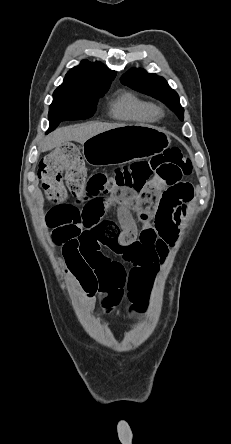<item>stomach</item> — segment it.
<instances>
[{
  "label": "stomach",
  "mask_w": 231,
  "mask_h": 444,
  "mask_svg": "<svg viewBox=\"0 0 231 444\" xmlns=\"http://www.w3.org/2000/svg\"><path fill=\"white\" fill-rule=\"evenodd\" d=\"M170 143V137L160 128L144 124L126 125L85 141L83 159L91 165L123 164L158 155Z\"/></svg>",
  "instance_id": "obj_1"
}]
</instances>
